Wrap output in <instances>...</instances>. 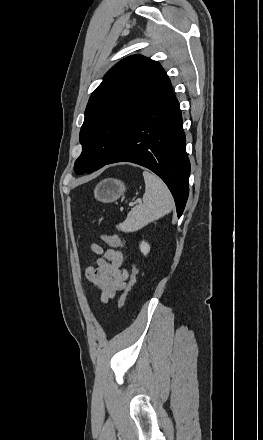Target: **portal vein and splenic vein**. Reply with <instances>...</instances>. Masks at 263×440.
I'll return each mask as SVG.
<instances>
[{"instance_id":"18ae733b","label":"portal vein and splenic vein","mask_w":263,"mask_h":440,"mask_svg":"<svg viewBox=\"0 0 263 440\" xmlns=\"http://www.w3.org/2000/svg\"><path fill=\"white\" fill-rule=\"evenodd\" d=\"M137 203H141V201L138 200L136 203H130L129 206H134V204H137Z\"/></svg>"}]
</instances>
